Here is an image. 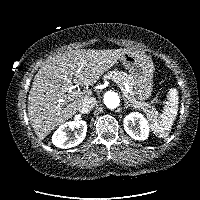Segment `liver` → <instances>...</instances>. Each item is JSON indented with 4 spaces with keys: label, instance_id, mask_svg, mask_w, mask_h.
Returning a JSON list of instances; mask_svg holds the SVG:
<instances>
[{
    "label": "liver",
    "instance_id": "6515ba94",
    "mask_svg": "<svg viewBox=\"0 0 200 200\" xmlns=\"http://www.w3.org/2000/svg\"><path fill=\"white\" fill-rule=\"evenodd\" d=\"M129 49H79L56 54L39 69L28 96V116L36 136L43 140L55 127L71 118L91 90L73 92V82L90 86L120 60ZM73 79V81H72ZM68 99L67 101H62Z\"/></svg>",
    "mask_w": 200,
    "mask_h": 200
}]
</instances>
